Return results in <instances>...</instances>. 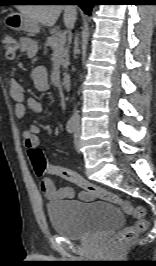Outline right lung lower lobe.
<instances>
[{"label":"right lung lower lobe","instance_id":"1","mask_svg":"<svg viewBox=\"0 0 156 266\" xmlns=\"http://www.w3.org/2000/svg\"><path fill=\"white\" fill-rule=\"evenodd\" d=\"M74 2L81 7V9L88 15L91 14L92 7L95 5L96 0H63Z\"/></svg>","mask_w":156,"mask_h":266}]
</instances>
